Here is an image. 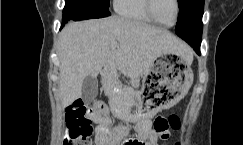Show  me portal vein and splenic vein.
Wrapping results in <instances>:
<instances>
[{
	"label": "portal vein and splenic vein",
	"instance_id": "portal-vein-and-splenic-vein-1",
	"mask_svg": "<svg viewBox=\"0 0 243 145\" xmlns=\"http://www.w3.org/2000/svg\"><path fill=\"white\" fill-rule=\"evenodd\" d=\"M111 46L112 47H116L117 46V43L114 42V43L111 44Z\"/></svg>",
	"mask_w": 243,
	"mask_h": 145
}]
</instances>
